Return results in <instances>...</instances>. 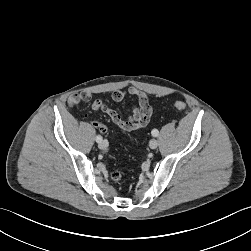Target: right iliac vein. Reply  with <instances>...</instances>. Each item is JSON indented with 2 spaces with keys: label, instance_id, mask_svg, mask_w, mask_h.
I'll return each mask as SVG.
<instances>
[{
  "label": "right iliac vein",
  "instance_id": "63e3f726",
  "mask_svg": "<svg viewBox=\"0 0 251 251\" xmlns=\"http://www.w3.org/2000/svg\"><path fill=\"white\" fill-rule=\"evenodd\" d=\"M98 147L102 150H105L108 147V142L106 140H103V141L99 142Z\"/></svg>",
  "mask_w": 251,
  "mask_h": 251
}]
</instances>
